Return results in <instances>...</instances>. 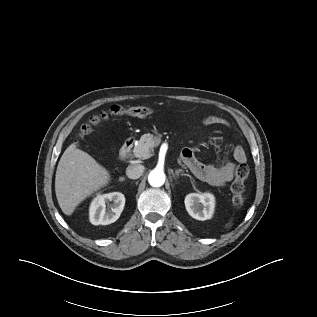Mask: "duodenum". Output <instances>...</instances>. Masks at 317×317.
I'll return each mask as SVG.
<instances>
[{
  "label": "duodenum",
  "instance_id": "1",
  "mask_svg": "<svg viewBox=\"0 0 317 317\" xmlns=\"http://www.w3.org/2000/svg\"><path fill=\"white\" fill-rule=\"evenodd\" d=\"M132 145H133V140L132 139H127L124 144L122 145L121 149H120V152H119V155H120V158L124 159L127 157V155L129 154L131 148H132Z\"/></svg>",
  "mask_w": 317,
  "mask_h": 317
}]
</instances>
